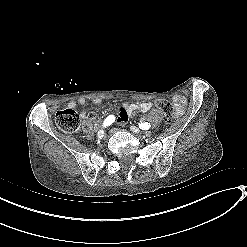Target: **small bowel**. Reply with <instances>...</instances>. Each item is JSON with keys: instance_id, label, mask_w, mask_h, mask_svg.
Returning a JSON list of instances; mask_svg holds the SVG:
<instances>
[{"instance_id": "obj_1", "label": "small bowel", "mask_w": 247, "mask_h": 247, "mask_svg": "<svg viewBox=\"0 0 247 247\" xmlns=\"http://www.w3.org/2000/svg\"><path fill=\"white\" fill-rule=\"evenodd\" d=\"M175 102L178 105L184 106L185 99L182 96H177L175 98ZM93 103L95 105H98L101 103V100L99 98H94ZM85 104V100L83 98L76 99L72 101L69 106L70 107H77V106H83ZM153 108V103L151 102H141V103H123L118 107V117L117 121L119 123H124L128 120V117L130 114L134 112H141L146 113L149 112ZM89 115L86 111L81 112L82 118H87Z\"/></svg>"}]
</instances>
